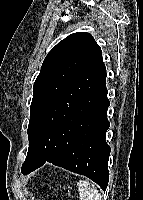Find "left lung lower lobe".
Segmentation results:
<instances>
[{"label":"left lung lower lobe","mask_w":143,"mask_h":200,"mask_svg":"<svg viewBox=\"0 0 143 200\" xmlns=\"http://www.w3.org/2000/svg\"><path fill=\"white\" fill-rule=\"evenodd\" d=\"M109 105L100 52L38 114L32 128L31 157L22 173L26 175L50 162L89 177L106 190Z\"/></svg>","instance_id":"obj_1"}]
</instances>
